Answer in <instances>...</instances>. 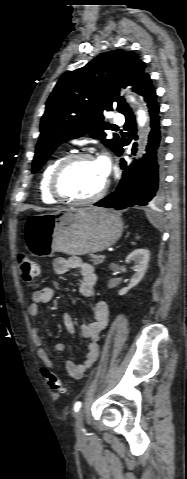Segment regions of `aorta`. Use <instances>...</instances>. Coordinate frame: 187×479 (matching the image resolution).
I'll list each match as a JSON object with an SVG mask.
<instances>
[{
  "mask_svg": "<svg viewBox=\"0 0 187 479\" xmlns=\"http://www.w3.org/2000/svg\"><path fill=\"white\" fill-rule=\"evenodd\" d=\"M131 101H134V98L131 97ZM147 117L146 113L143 110L138 111V123L140 126H144L146 123Z\"/></svg>",
  "mask_w": 187,
  "mask_h": 479,
  "instance_id": "762f6f07",
  "label": "aorta"
}]
</instances>
